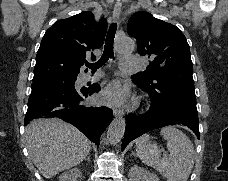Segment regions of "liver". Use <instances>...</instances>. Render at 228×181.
<instances>
[{"instance_id":"liver-1","label":"liver","mask_w":228,"mask_h":181,"mask_svg":"<svg viewBox=\"0 0 228 181\" xmlns=\"http://www.w3.org/2000/svg\"><path fill=\"white\" fill-rule=\"evenodd\" d=\"M25 135L29 157L45 179L80 165L91 149L85 135L61 119L33 121Z\"/></svg>"}]
</instances>
